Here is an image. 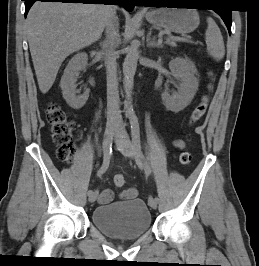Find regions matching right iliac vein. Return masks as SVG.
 Instances as JSON below:
<instances>
[{
    "label": "right iliac vein",
    "instance_id": "1",
    "mask_svg": "<svg viewBox=\"0 0 259 266\" xmlns=\"http://www.w3.org/2000/svg\"><path fill=\"white\" fill-rule=\"evenodd\" d=\"M117 128H118V124L116 122H110L107 125L105 138H104V142H103V152L106 148L105 143H109L111 137L116 133ZM96 198H97V193L93 192L92 194L89 195L88 200H89V202H95Z\"/></svg>",
    "mask_w": 259,
    "mask_h": 266
}]
</instances>
